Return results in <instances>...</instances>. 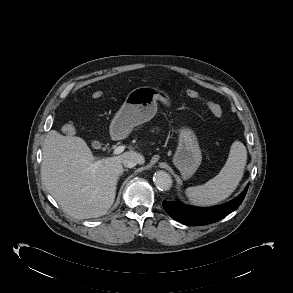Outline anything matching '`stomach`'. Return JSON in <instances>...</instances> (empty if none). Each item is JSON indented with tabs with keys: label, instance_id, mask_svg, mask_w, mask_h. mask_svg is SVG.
I'll use <instances>...</instances> for the list:
<instances>
[{
	"label": "stomach",
	"instance_id": "obj_1",
	"mask_svg": "<svg viewBox=\"0 0 293 293\" xmlns=\"http://www.w3.org/2000/svg\"><path fill=\"white\" fill-rule=\"evenodd\" d=\"M157 100L170 105V96L164 90L150 86L133 89L111 122V137H125L134 127L151 120L157 112ZM172 161L184 179L190 178L200 166L201 150L190 127L178 129V145Z\"/></svg>",
	"mask_w": 293,
	"mask_h": 293
}]
</instances>
